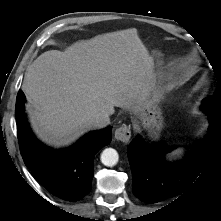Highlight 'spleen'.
<instances>
[{"label": "spleen", "mask_w": 221, "mask_h": 221, "mask_svg": "<svg viewBox=\"0 0 221 221\" xmlns=\"http://www.w3.org/2000/svg\"><path fill=\"white\" fill-rule=\"evenodd\" d=\"M183 152L182 149H178L175 152H173L171 155L168 156L169 159H171L175 155H180Z\"/></svg>", "instance_id": "1"}]
</instances>
